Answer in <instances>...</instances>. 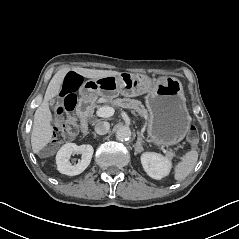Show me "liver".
I'll list each match as a JSON object with an SVG mask.
<instances>
[{
    "label": "liver",
    "instance_id": "obj_1",
    "mask_svg": "<svg viewBox=\"0 0 239 239\" xmlns=\"http://www.w3.org/2000/svg\"><path fill=\"white\" fill-rule=\"evenodd\" d=\"M69 68H62L53 76L47 87L44 100L37 108L34 114V123L31 134V145L33 153L37 154L42 150L52 139V114L49 109L48 101L59 94L63 79ZM75 72L86 78H102L108 76H117L119 72L112 70H95L76 67Z\"/></svg>",
    "mask_w": 239,
    "mask_h": 239
}]
</instances>
